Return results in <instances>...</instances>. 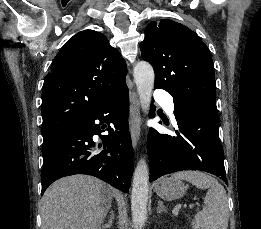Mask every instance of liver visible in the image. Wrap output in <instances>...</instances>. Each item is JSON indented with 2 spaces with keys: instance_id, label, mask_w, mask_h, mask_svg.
Masks as SVG:
<instances>
[{
  "instance_id": "liver-1",
  "label": "liver",
  "mask_w": 261,
  "mask_h": 229,
  "mask_svg": "<svg viewBox=\"0 0 261 229\" xmlns=\"http://www.w3.org/2000/svg\"><path fill=\"white\" fill-rule=\"evenodd\" d=\"M111 203L110 187L100 179L64 177L41 199V229H101Z\"/></svg>"
}]
</instances>
